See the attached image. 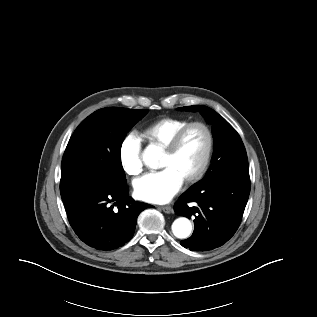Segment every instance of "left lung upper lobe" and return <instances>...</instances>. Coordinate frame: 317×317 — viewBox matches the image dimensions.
<instances>
[{
    "label": "left lung upper lobe",
    "mask_w": 317,
    "mask_h": 317,
    "mask_svg": "<svg viewBox=\"0 0 317 317\" xmlns=\"http://www.w3.org/2000/svg\"><path fill=\"white\" fill-rule=\"evenodd\" d=\"M180 109L199 111L212 124L214 135L212 164L205 177L194 185L218 182L234 174H248V159L244 144L237 131L222 116L202 105Z\"/></svg>",
    "instance_id": "left-lung-upper-lobe-1"
}]
</instances>
